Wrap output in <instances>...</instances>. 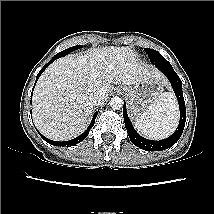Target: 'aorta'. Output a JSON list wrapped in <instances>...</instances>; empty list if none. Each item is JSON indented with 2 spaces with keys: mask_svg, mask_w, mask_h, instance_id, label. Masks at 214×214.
<instances>
[{
  "mask_svg": "<svg viewBox=\"0 0 214 214\" xmlns=\"http://www.w3.org/2000/svg\"><path fill=\"white\" fill-rule=\"evenodd\" d=\"M123 104L124 103H123L122 98H120L118 96H114L110 100V106L113 110H118V109L122 108Z\"/></svg>",
  "mask_w": 214,
  "mask_h": 214,
  "instance_id": "1",
  "label": "aorta"
}]
</instances>
